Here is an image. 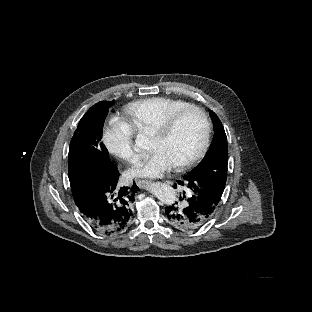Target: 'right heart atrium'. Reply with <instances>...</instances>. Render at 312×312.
Listing matches in <instances>:
<instances>
[{"mask_svg": "<svg viewBox=\"0 0 312 312\" xmlns=\"http://www.w3.org/2000/svg\"><path fill=\"white\" fill-rule=\"evenodd\" d=\"M105 145L119 163L137 164L141 158V144L135 130L122 120H115L105 130Z\"/></svg>", "mask_w": 312, "mask_h": 312, "instance_id": "right-heart-atrium-1", "label": "right heart atrium"}]
</instances>
